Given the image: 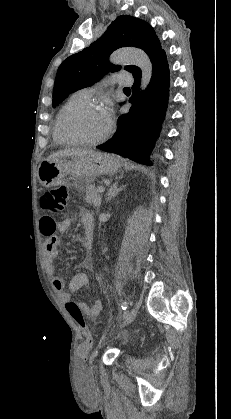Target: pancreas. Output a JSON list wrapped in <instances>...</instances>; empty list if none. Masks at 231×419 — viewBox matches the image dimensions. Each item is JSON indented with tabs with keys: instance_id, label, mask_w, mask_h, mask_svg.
<instances>
[{
	"instance_id": "cf45deb5",
	"label": "pancreas",
	"mask_w": 231,
	"mask_h": 419,
	"mask_svg": "<svg viewBox=\"0 0 231 419\" xmlns=\"http://www.w3.org/2000/svg\"><path fill=\"white\" fill-rule=\"evenodd\" d=\"M102 197L99 194L98 188L93 186L89 187L86 192V202L90 205H94L95 207L99 208L101 205Z\"/></svg>"
}]
</instances>
